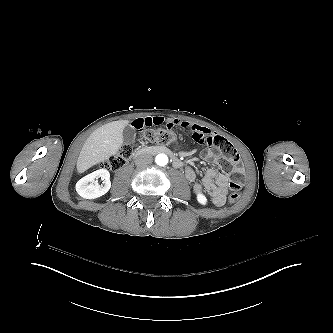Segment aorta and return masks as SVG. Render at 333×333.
Segmentation results:
<instances>
[{
	"label": "aorta",
	"mask_w": 333,
	"mask_h": 333,
	"mask_svg": "<svg viewBox=\"0 0 333 333\" xmlns=\"http://www.w3.org/2000/svg\"><path fill=\"white\" fill-rule=\"evenodd\" d=\"M156 163L159 166H165L168 164V156L164 153L158 154L156 156Z\"/></svg>",
	"instance_id": "762f6f07"
}]
</instances>
